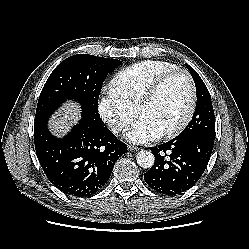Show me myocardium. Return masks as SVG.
Returning a JSON list of instances; mask_svg holds the SVG:
<instances>
[{
	"label": "myocardium",
	"mask_w": 249,
	"mask_h": 249,
	"mask_svg": "<svg viewBox=\"0 0 249 249\" xmlns=\"http://www.w3.org/2000/svg\"><path fill=\"white\" fill-rule=\"evenodd\" d=\"M177 74L184 75V77L187 80L189 91H190L189 105H188V109L185 115L179 121V123H177L171 129L163 132L162 135L166 138H171V137H174L180 134L188 126V124L190 123L194 115L196 104H197V90H196L195 82L190 72L183 68H175L173 70L163 73L151 83V85L147 88L145 93L142 95V97L140 98L136 106V111L138 114H140L141 109L155 98V96L158 94L163 84L169 78Z\"/></svg>",
	"instance_id": "obj_1"
}]
</instances>
